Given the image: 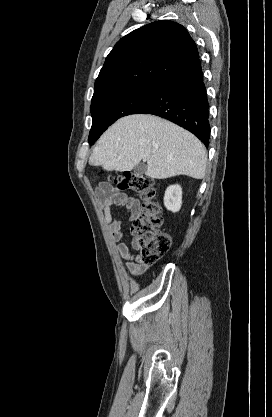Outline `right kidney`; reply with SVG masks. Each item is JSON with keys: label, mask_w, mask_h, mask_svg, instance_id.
<instances>
[{"label": "right kidney", "mask_w": 272, "mask_h": 417, "mask_svg": "<svg viewBox=\"0 0 272 417\" xmlns=\"http://www.w3.org/2000/svg\"><path fill=\"white\" fill-rule=\"evenodd\" d=\"M164 205L167 210L178 212L182 205V188L180 185H171L165 191Z\"/></svg>", "instance_id": "1"}]
</instances>
